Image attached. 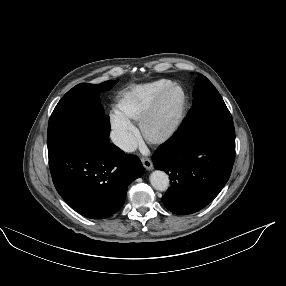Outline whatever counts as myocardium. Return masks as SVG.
Here are the masks:
<instances>
[{
	"mask_svg": "<svg viewBox=\"0 0 286 286\" xmlns=\"http://www.w3.org/2000/svg\"><path fill=\"white\" fill-rule=\"evenodd\" d=\"M179 89L182 92V102H181V107L180 110L171 123V125L162 133L156 136H152L148 133V125L153 119L159 105L163 101V99L173 90ZM187 108H188V96L186 93V90L184 89L183 86L180 84H171L170 86L166 87L163 91H161L155 98L154 100L150 103V105L147 107L143 115L141 116L139 120V129H140V134L143 137V139L153 145V146H162L166 143H168L179 131L181 128L186 114H187Z\"/></svg>",
	"mask_w": 286,
	"mask_h": 286,
	"instance_id": "obj_1",
	"label": "myocardium"
}]
</instances>
